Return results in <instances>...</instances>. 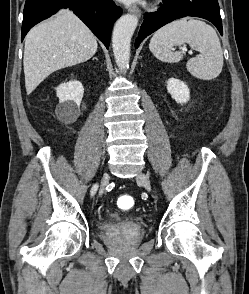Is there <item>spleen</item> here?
I'll return each instance as SVG.
<instances>
[{"label": "spleen", "instance_id": "3e777b00", "mask_svg": "<svg viewBox=\"0 0 249 294\" xmlns=\"http://www.w3.org/2000/svg\"><path fill=\"white\" fill-rule=\"evenodd\" d=\"M188 43L200 52V56L191 58L187 70L202 80L216 78L222 71L223 51L216 31L205 22L194 18H182L157 30L150 40L149 49L159 60L177 63L183 59V53L173 51L174 46Z\"/></svg>", "mask_w": 249, "mask_h": 294}]
</instances>
